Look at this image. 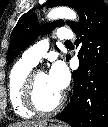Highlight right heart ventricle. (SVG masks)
<instances>
[{
    "label": "right heart ventricle",
    "instance_id": "e07e8e85",
    "mask_svg": "<svg viewBox=\"0 0 108 127\" xmlns=\"http://www.w3.org/2000/svg\"><path fill=\"white\" fill-rule=\"evenodd\" d=\"M34 65L19 60L10 70L8 77V96L15 114L22 118H30L34 115L28 110L23 101V87L25 80L32 71Z\"/></svg>",
    "mask_w": 108,
    "mask_h": 127
}]
</instances>
